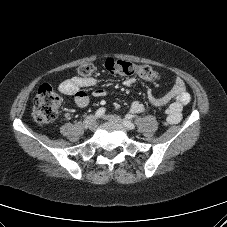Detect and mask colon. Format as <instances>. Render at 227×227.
I'll use <instances>...</instances> for the list:
<instances>
[{
	"label": "colon",
	"instance_id": "obj_1",
	"mask_svg": "<svg viewBox=\"0 0 227 227\" xmlns=\"http://www.w3.org/2000/svg\"><path fill=\"white\" fill-rule=\"evenodd\" d=\"M104 67L112 75L138 76L147 81H156L159 78L157 71L147 64H136L115 58H108ZM78 74L87 78L94 72L92 64L81 65ZM60 97L48 84H43L34 99L32 115L34 120L40 124H47L55 120L59 113Z\"/></svg>",
	"mask_w": 227,
	"mask_h": 227
}]
</instances>
